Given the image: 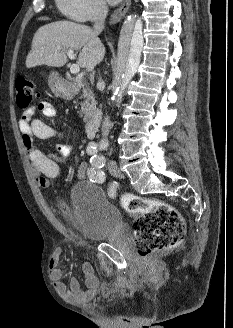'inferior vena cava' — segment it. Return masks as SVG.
I'll list each match as a JSON object with an SVG mask.
<instances>
[{"label":"inferior vena cava","mask_w":233,"mask_h":328,"mask_svg":"<svg viewBox=\"0 0 233 328\" xmlns=\"http://www.w3.org/2000/svg\"><path fill=\"white\" fill-rule=\"evenodd\" d=\"M108 13V7L106 3L102 0H98L93 7V21H94V31L101 32L104 28V21ZM101 85V79H99L97 86ZM111 128V122L109 117H105L102 125V137L105 140L109 134Z\"/></svg>","instance_id":"602c4592"}]
</instances>
